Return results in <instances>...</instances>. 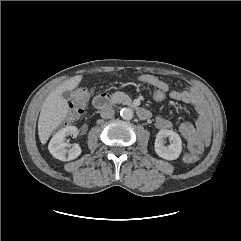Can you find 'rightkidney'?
Masks as SVG:
<instances>
[{
  "mask_svg": "<svg viewBox=\"0 0 241 241\" xmlns=\"http://www.w3.org/2000/svg\"><path fill=\"white\" fill-rule=\"evenodd\" d=\"M79 131L75 126H67L58 131L51 139L48 149L53 157L61 161H70L76 159L82 152L79 144H74L72 148L67 149L64 140L67 136H77Z\"/></svg>",
  "mask_w": 241,
  "mask_h": 241,
  "instance_id": "ca27d5eb",
  "label": "right kidney"
}]
</instances>
